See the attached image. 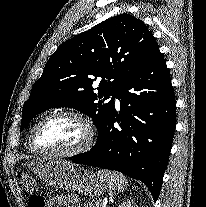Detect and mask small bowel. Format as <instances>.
<instances>
[{
	"label": "small bowel",
	"instance_id": "obj_1",
	"mask_svg": "<svg viewBox=\"0 0 206 207\" xmlns=\"http://www.w3.org/2000/svg\"><path fill=\"white\" fill-rule=\"evenodd\" d=\"M80 207L78 201L73 196H55L48 200L47 207Z\"/></svg>",
	"mask_w": 206,
	"mask_h": 207
}]
</instances>
